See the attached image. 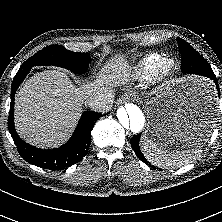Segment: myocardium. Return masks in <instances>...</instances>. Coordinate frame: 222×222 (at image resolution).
<instances>
[{
  "mask_svg": "<svg viewBox=\"0 0 222 222\" xmlns=\"http://www.w3.org/2000/svg\"><path fill=\"white\" fill-rule=\"evenodd\" d=\"M175 68V61L172 58L164 57L156 66L153 75L158 81L168 79L173 75Z\"/></svg>",
  "mask_w": 222,
  "mask_h": 222,
  "instance_id": "f54148a6",
  "label": "myocardium"
}]
</instances>
